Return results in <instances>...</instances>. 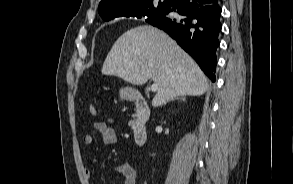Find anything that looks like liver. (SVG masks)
I'll return each mask as SVG.
<instances>
[{
	"label": "liver",
	"instance_id": "1",
	"mask_svg": "<svg viewBox=\"0 0 293 184\" xmlns=\"http://www.w3.org/2000/svg\"><path fill=\"white\" fill-rule=\"evenodd\" d=\"M102 74L117 76L134 85L149 79L158 84L154 107L177 96H200L209 80L176 42L150 25L134 27L114 43L102 67Z\"/></svg>",
	"mask_w": 293,
	"mask_h": 184
}]
</instances>
